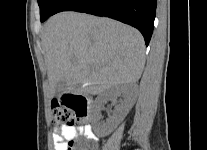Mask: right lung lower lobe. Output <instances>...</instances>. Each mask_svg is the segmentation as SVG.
Returning a JSON list of instances; mask_svg holds the SVG:
<instances>
[{
	"instance_id": "1",
	"label": "right lung lower lobe",
	"mask_w": 207,
	"mask_h": 150,
	"mask_svg": "<svg viewBox=\"0 0 207 150\" xmlns=\"http://www.w3.org/2000/svg\"><path fill=\"white\" fill-rule=\"evenodd\" d=\"M156 3V0H63L54 14L77 11L110 17L136 27L148 45L154 28Z\"/></svg>"
}]
</instances>
